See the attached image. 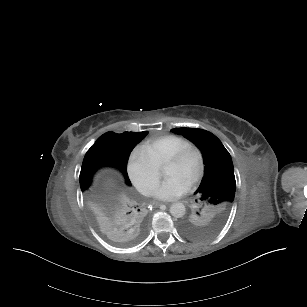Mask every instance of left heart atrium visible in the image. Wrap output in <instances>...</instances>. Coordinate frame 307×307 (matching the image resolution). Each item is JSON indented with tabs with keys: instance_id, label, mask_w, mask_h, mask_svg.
Returning <instances> with one entry per match:
<instances>
[{
	"instance_id": "39dd6f15",
	"label": "left heart atrium",
	"mask_w": 307,
	"mask_h": 307,
	"mask_svg": "<svg viewBox=\"0 0 307 307\" xmlns=\"http://www.w3.org/2000/svg\"><path fill=\"white\" fill-rule=\"evenodd\" d=\"M190 188L189 182L177 175L153 183L150 195L156 199L170 201L185 195Z\"/></svg>"
}]
</instances>
